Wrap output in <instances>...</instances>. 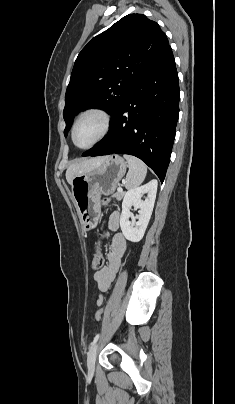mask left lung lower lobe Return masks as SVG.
<instances>
[{"label":"left lung lower lobe","instance_id":"1","mask_svg":"<svg viewBox=\"0 0 235 404\" xmlns=\"http://www.w3.org/2000/svg\"><path fill=\"white\" fill-rule=\"evenodd\" d=\"M179 83L170 46L134 84L110 122V131L82 156L130 154L163 182L179 114Z\"/></svg>","mask_w":235,"mask_h":404}]
</instances>
